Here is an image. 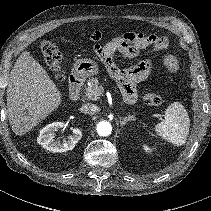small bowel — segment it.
<instances>
[{
	"mask_svg": "<svg viewBox=\"0 0 211 211\" xmlns=\"http://www.w3.org/2000/svg\"><path fill=\"white\" fill-rule=\"evenodd\" d=\"M133 33L134 32H126L123 35L130 36ZM113 42L106 44V46H109ZM108 70L111 76L117 80L124 101L127 104H134L137 101L136 84L148 76L150 72V63L142 62L125 70H120L115 65Z\"/></svg>",
	"mask_w": 211,
	"mask_h": 211,
	"instance_id": "obj_1",
	"label": "small bowel"
}]
</instances>
